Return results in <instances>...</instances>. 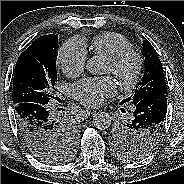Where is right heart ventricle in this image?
Returning <instances> with one entry per match:
<instances>
[{"instance_id": "right-heart-ventricle-1", "label": "right heart ventricle", "mask_w": 184, "mask_h": 184, "mask_svg": "<svg viewBox=\"0 0 184 184\" xmlns=\"http://www.w3.org/2000/svg\"><path fill=\"white\" fill-rule=\"evenodd\" d=\"M131 48L132 44L129 40L120 34L112 32L97 35L91 44V49L94 54L105 60L112 59Z\"/></svg>"}]
</instances>
